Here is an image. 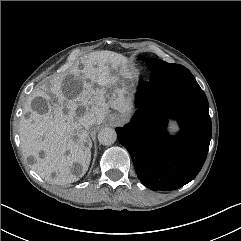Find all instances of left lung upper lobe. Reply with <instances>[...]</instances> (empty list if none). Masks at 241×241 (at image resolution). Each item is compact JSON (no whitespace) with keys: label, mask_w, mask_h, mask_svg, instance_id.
<instances>
[{"label":"left lung upper lobe","mask_w":241,"mask_h":241,"mask_svg":"<svg viewBox=\"0 0 241 241\" xmlns=\"http://www.w3.org/2000/svg\"><path fill=\"white\" fill-rule=\"evenodd\" d=\"M141 60L146 62L149 70L160 72L165 76L169 90L173 94L198 84L192 73L182 65L169 64L155 58L142 57Z\"/></svg>","instance_id":"1"}]
</instances>
